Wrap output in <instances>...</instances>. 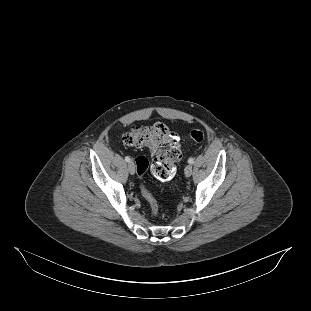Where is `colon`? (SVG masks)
Returning a JSON list of instances; mask_svg holds the SVG:
<instances>
[{
	"label": "colon",
	"mask_w": 311,
	"mask_h": 311,
	"mask_svg": "<svg viewBox=\"0 0 311 311\" xmlns=\"http://www.w3.org/2000/svg\"><path fill=\"white\" fill-rule=\"evenodd\" d=\"M190 138L194 142H202L204 133L200 129H193ZM122 143L132 147H146L154 154L151 164L145 156L136 158L137 174L140 179L149 167L153 175L161 181H169L174 177L176 172L174 163L181 158V152L176 134L166 125L156 123L152 126H137L123 135ZM140 188L143 197L149 203L153 216H157L159 207L156 199L142 181Z\"/></svg>",
	"instance_id": "obj_1"
}]
</instances>
